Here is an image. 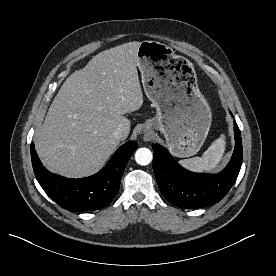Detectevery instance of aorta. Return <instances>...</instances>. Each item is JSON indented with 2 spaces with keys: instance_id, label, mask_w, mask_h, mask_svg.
<instances>
[{
  "instance_id": "1",
  "label": "aorta",
  "mask_w": 276,
  "mask_h": 276,
  "mask_svg": "<svg viewBox=\"0 0 276 276\" xmlns=\"http://www.w3.org/2000/svg\"><path fill=\"white\" fill-rule=\"evenodd\" d=\"M153 154L148 148H139L135 152V161L141 166H146L151 163Z\"/></svg>"
}]
</instances>
